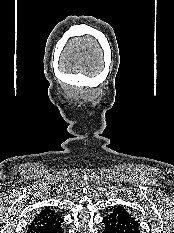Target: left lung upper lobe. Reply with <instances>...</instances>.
<instances>
[{
    "instance_id": "left-lung-upper-lobe-1",
    "label": "left lung upper lobe",
    "mask_w": 174,
    "mask_h": 233,
    "mask_svg": "<svg viewBox=\"0 0 174 233\" xmlns=\"http://www.w3.org/2000/svg\"><path fill=\"white\" fill-rule=\"evenodd\" d=\"M113 211L118 212V213H123L129 215L127 210L125 209V206H118L113 209Z\"/></svg>"
}]
</instances>
